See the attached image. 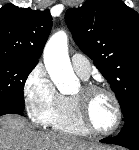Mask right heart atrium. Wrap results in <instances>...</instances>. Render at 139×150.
Instances as JSON below:
<instances>
[{
  "label": "right heart atrium",
  "mask_w": 139,
  "mask_h": 150,
  "mask_svg": "<svg viewBox=\"0 0 139 150\" xmlns=\"http://www.w3.org/2000/svg\"><path fill=\"white\" fill-rule=\"evenodd\" d=\"M24 104L29 118L39 126L48 125L49 118L61 95L43 65H36L23 84Z\"/></svg>",
  "instance_id": "1"
}]
</instances>
